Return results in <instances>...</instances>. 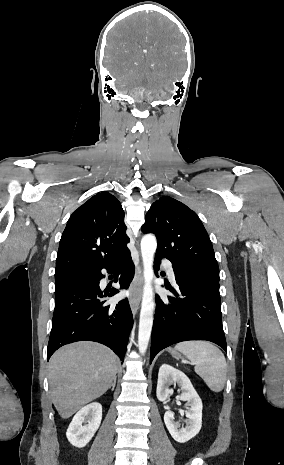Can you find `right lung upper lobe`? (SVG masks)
Returning a JSON list of instances; mask_svg holds the SVG:
<instances>
[{"mask_svg":"<svg viewBox=\"0 0 284 465\" xmlns=\"http://www.w3.org/2000/svg\"><path fill=\"white\" fill-rule=\"evenodd\" d=\"M124 211L117 198L101 192L73 212L62 234L55 281L94 274L128 250Z\"/></svg>","mask_w":284,"mask_h":465,"instance_id":"right-lung-upper-lobe-1","label":"right lung upper lobe"}]
</instances>
